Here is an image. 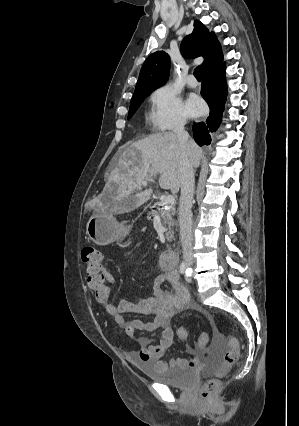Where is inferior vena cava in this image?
<instances>
[{
    "instance_id": "obj_1",
    "label": "inferior vena cava",
    "mask_w": 299,
    "mask_h": 426,
    "mask_svg": "<svg viewBox=\"0 0 299 426\" xmlns=\"http://www.w3.org/2000/svg\"><path fill=\"white\" fill-rule=\"evenodd\" d=\"M186 120H181L175 127L174 133L183 149L180 160L181 170V194L179 199L178 220L180 226L181 244L183 249V259L187 265L193 261L192 252V203L194 195V169L190 162L187 148L189 145V135L185 131Z\"/></svg>"
}]
</instances>
